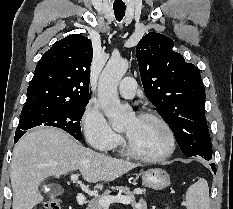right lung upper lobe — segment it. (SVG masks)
<instances>
[{
	"label": "right lung upper lobe",
	"mask_w": 233,
	"mask_h": 209,
	"mask_svg": "<svg viewBox=\"0 0 233 209\" xmlns=\"http://www.w3.org/2000/svg\"><path fill=\"white\" fill-rule=\"evenodd\" d=\"M92 42L72 34L56 42L39 60L25 105L89 101Z\"/></svg>",
	"instance_id": "right-lung-upper-lobe-1"
}]
</instances>
